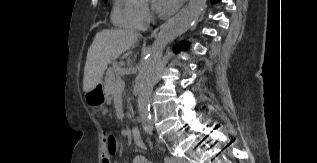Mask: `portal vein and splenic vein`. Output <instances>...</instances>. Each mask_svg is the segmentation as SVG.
<instances>
[{"instance_id":"18ae733b","label":"portal vein and splenic vein","mask_w":317,"mask_h":163,"mask_svg":"<svg viewBox=\"0 0 317 163\" xmlns=\"http://www.w3.org/2000/svg\"><path fill=\"white\" fill-rule=\"evenodd\" d=\"M124 87H125V83H124L123 80H121V79L116 80V82H115V89H116L117 91H122V90H124Z\"/></svg>"}]
</instances>
